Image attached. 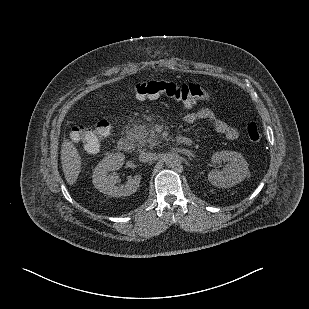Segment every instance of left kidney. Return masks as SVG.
<instances>
[{"label": "left kidney", "instance_id": "1", "mask_svg": "<svg viewBox=\"0 0 309 309\" xmlns=\"http://www.w3.org/2000/svg\"><path fill=\"white\" fill-rule=\"evenodd\" d=\"M212 162L226 163L223 170L214 169L209 172V182L219 188H229L242 182L249 174L248 163L241 153L236 151H220L212 156Z\"/></svg>", "mask_w": 309, "mask_h": 309}]
</instances>
